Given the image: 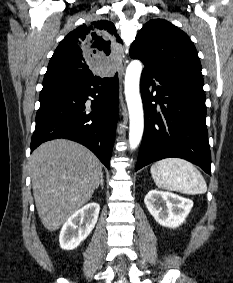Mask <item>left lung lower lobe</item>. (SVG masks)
<instances>
[{
    "label": "left lung lower lobe",
    "instance_id": "left-lung-lower-lobe-1",
    "mask_svg": "<svg viewBox=\"0 0 233 283\" xmlns=\"http://www.w3.org/2000/svg\"><path fill=\"white\" fill-rule=\"evenodd\" d=\"M203 85V76L194 73L143 69L140 91L145 129L136 171L151 162L178 157L211 175Z\"/></svg>",
    "mask_w": 233,
    "mask_h": 283
}]
</instances>
